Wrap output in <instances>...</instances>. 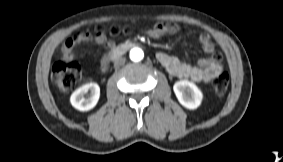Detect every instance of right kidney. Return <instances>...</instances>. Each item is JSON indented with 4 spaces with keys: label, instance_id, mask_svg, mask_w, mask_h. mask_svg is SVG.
Here are the masks:
<instances>
[{
    "label": "right kidney",
    "instance_id": "1",
    "mask_svg": "<svg viewBox=\"0 0 283 162\" xmlns=\"http://www.w3.org/2000/svg\"><path fill=\"white\" fill-rule=\"evenodd\" d=\"M99 97L100 88L98 84L91 82L75 90L70 97V102L77 110L88 111L96 106Z\"/></svg>",
    "mask_w": 283,
    "mask_h": 162
}]
</instances>
